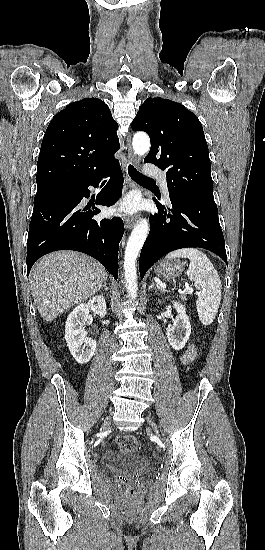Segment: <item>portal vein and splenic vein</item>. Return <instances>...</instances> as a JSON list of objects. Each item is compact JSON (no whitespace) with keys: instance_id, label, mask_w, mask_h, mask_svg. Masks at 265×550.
<instances>
[{"instance_id":"1","label":"portal vein and splenic vein","mask_w":265,"mask_h":550,"mask_svg":"<svg viewBox=\"0 0 265 550\" xmlns=\"http://www.w3.org/2000/svg\"><path fill=\"white\" fill-rule=\"evenodd\" d=\"M193 292V289L192 288H188L187 289V293H192Z\"/></svg>"}]
</instances>
